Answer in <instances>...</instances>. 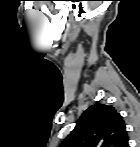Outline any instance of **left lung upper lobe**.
<instances>
[{
    "instance_id": "left-lung-upper-lobe-1",
    "label": "left lung upper lobe",
    "mask_w": 140,
    "mask_h": 147,
    "mask_svg": "<svg viewBox=\"0 0 140 147\" xmlns=\"http://www.w3.org/2000/svg\"><path fill=\"white\" fill-rule=\"evenodd\" d=\"M123 117L111 105L95 104L80 117L61 147H128Z\"/></svg>"
}]
</instances>
